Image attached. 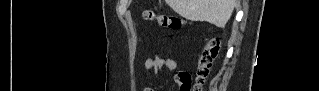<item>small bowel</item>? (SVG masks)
<instances>
[{
    "mask_svg": "<svg viewBox=\"0 0 319 91\" xmlns=\"http://www.w3.org/2000/svg\"><path fill=\"white\" fill-rule=\"evenodd\" d=\"M177 67H178L177 61L174 58L158 56L156 58H149L145 61V68L147 70L161 69V68L175 70ZM180 75L181 74H179V77ZM179 77L176 78L177 81L179 80Z\"/></svg>",
    "mask_w": 319,
    "mask_h": 91,
    "instance_id": "c3829d8e",
    "label": "small bowel"
}]
</instances>
